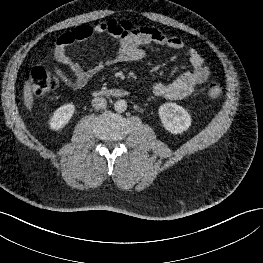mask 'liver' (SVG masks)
Here are the masks:
<instances>
[{
	"mask_svg": "<svg viewBox=\"0 0 263 263\" xmlns=\"http://www.w3.org/2000/svg\"><path fill=\"white\" fill-rule=\"evenodd\" d=\"M23 94H24V105L28 110H31L33 106V95H32L31 85L28 81H26L24 84Z\"/></svg>",
	"mask_w": 263,
	"mask_h": 263,
	"instance_id": "1",
	"label": "liver"
}]
</instances>
